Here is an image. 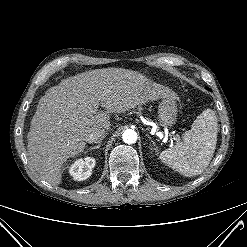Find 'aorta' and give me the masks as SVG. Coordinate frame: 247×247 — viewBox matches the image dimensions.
Segmentation results:
<instances>
[{"mask_svg":"<svg viewBox=\"0 0 247 247\" xmlns=\"http://www.w3.org/2000/svg\"><path fill=\"white\" fill-rule=\"evenodd\" d=\"M138 136L136 131L132 129H127L123 132L122 139L127 144H133L136 142Z\"/></svg>","mask_w":247,"mask_h":247,"instance_id":"1","label":"aorta"}]
</instances>
